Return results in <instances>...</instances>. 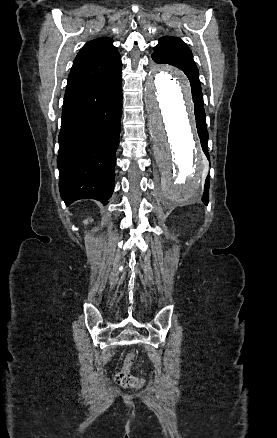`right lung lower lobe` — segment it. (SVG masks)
<instances>
[{"label": "right lung lower lobe", "mask_w": 277, "mask_h": 438, "mask_svg": "<svg viewBox=\"0 0 277 438\" xmlns=\"http://www.w3.org/2000/svg\"><path fill=\"white\" fill-rule=\"evenodd\" d=\"M122 115V69L65 94L57 165L66 205L82 198L107 204L114 190Z\"/></svg>", "instance_id": "1"}]
</instances>
